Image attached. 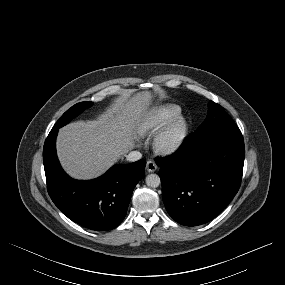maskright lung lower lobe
<instances>
[{"mask_svg": "<svg viewBox=\"0 0 285 285\" xmlns=\"http://www.w3.org/2000/svg\"><path fill=\"white\" fill-rule=\"evenodd\" d=\"M58 129L52 128L43 148L47 188L52 201L69 219L86 228L114 229L124 219L133 189L145 175L146 161L114 165L94 180H74L63 171L56 155Z\"/></svg>", "mask_w": 285, "mask_h": 285, "instance_id": "1", "label": "right lung lower lobe"}]
</instances>
